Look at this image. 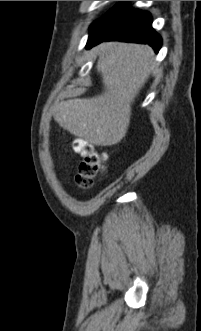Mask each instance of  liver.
I'll return each instance as SVG.
<instances>
[{
	"mask_svg": "<svg viewBox=\"0 0 201 331\" xmlns=\"http://www.w3.org/2000/svg\"><path fill=\"white\" fill-rule=\"evenodd\" d=\"M104 91L87 99L61 101L53 117L65 130L96 146H111L126 135L131 105L149 78L153 50L147 45L106 42L96 46Z\"/></svg>",
	"mask_w": 201,
	"mask_h": 331,
	"instance_id": "liver-1",
	"label": "liver"
}]
</instances>
